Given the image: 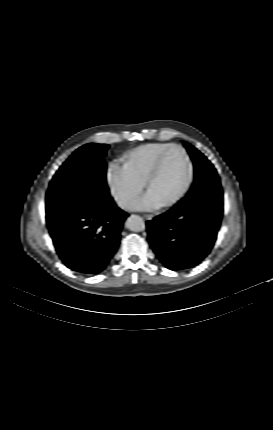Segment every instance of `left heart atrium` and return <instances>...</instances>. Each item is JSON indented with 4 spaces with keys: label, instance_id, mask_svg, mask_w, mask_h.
Here are the masks:
<instances>
[{
    "label": "left heart atrium",
    "instance_id": "1",
    "mask_svg": "<svg viewBox=\"0 0 273 430\" xmlns=\"http://www.w3.org/2000/svg\"><path fill=\"white\" fill-rule=\"evenodd\" d=\"M163 206V203L155 196L154 193L148 191L139 201L134 205V208L141 210H153Z\"/></svg>",
    "mask_w": 273,
    "mask_h": 430
}]
</instances>
